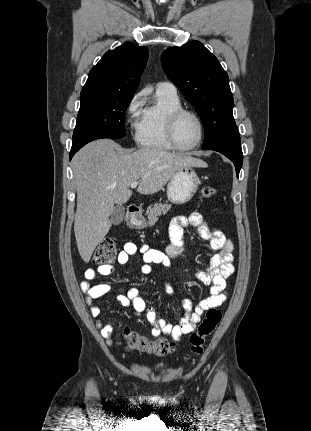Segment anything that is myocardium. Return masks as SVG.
<instances>
[{
	"label": "myocardium",
	"mask_w": 311,
	"mask_h": 431,
	"mask_svg": "<svg viewBox=\"0 0 311 431\" xmlns=\"http://www.w3.org/2000/svg\"><path fill=\"white\" fill-rule=\"evenodd\" d=\"M185 114H191L195 116L201 126V135L199 136L198 141L189 147L181 146L177 140L176 136V130H177V124L180 120V118ZM207 134V126L203 119V117L195 110L189 109V108H179L174 111H172L167 119V136L171 144L175 149L182 150V151H189L197 148L203 141L204 136Z\"/></svg>",
	"instance_id": "1"
}]
</instances>
